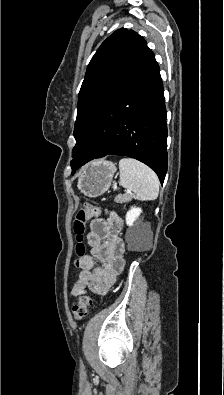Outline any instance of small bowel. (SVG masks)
I'll return each instance as SVG.
<instances>
[{"label": "small bowel", "mask_w": 224, "mask_h": 395, "mask_svg": "<svg viewBox=\"0 0 224 395\" xmlns=\"http://www.w3.org/2000/svg\"><path fill=\"white\" fill-rule=\"evenodd\" d=\"M122 227V219L111 213L107 219L91 221L88 234L90 253L79 260L80 273L71 294L77 295L85 288L103 295L117 281L125 266V243L115 233Z\"/></svg>", "instance_id": "c3829d8e"}]
</instances>
